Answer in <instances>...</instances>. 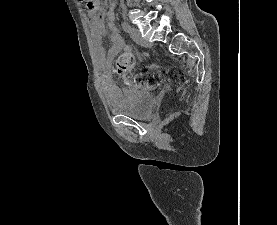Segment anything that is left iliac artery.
Listing matches in <instances>:
<instances>
[{
	"mask_svg": "<svg viewBox=\"0 0 277 225\" xmlns=\"http://www.w3.org/2000/svg\"><path fill=\"white\" fill-rule=\"evenodd\" d=\"M122 28L126 33H130L131 32V26L127 23V22H123L122 23Z\"/></svg>",
	"mask_w": 277,
	"mask_h": 225,
	"instance_id": "44dca946",
	"label": "left iliac artery"
}]
</instances>
